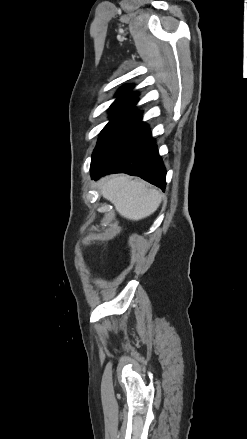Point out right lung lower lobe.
I'll use <instances>...</instances> for the list:
<instances>
[{
  "instance_id": "1",
  "label": "right lung lower lobe",
  "mask_w": 247,
  "mask_h": 439,
  "mask_svg": "<svg viewBox=\"0 0 247 439\" xmlns=\"http://www.w3.org/2000/svg\"><path fill=\"white\" fill-rule=\"evenodd\" d=\"M111 173L139 176L165 189L166 170L148 126L111 152L98 166L91 167V177L95 180Z\"/></svg>"
}]
</instances>
